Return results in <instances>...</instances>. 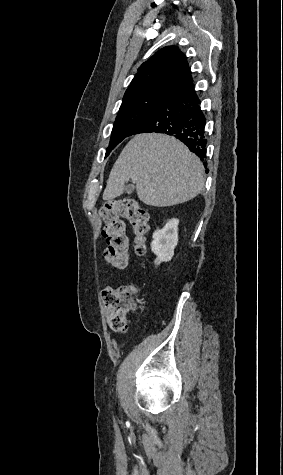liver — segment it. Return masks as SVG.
<instances>
[{
    "label": "liver",
    "mask_w": 283,
    "mask_h": 475,
    "mask_svg": "<svg viewBox=\"0 0 283 475\" xmlns=\"http://www.w3.org/2000/svg\"><path fill=\"white\" fill-rule=\"evenodd\" d=\"M203 164L182 142L166 134H138L116 160L103 200L113 202L126 182L136 184L147 206H174L192 200L204 188Z\"/></svg>",
    "instance_id": "6515ba94"
}]
</instances>
